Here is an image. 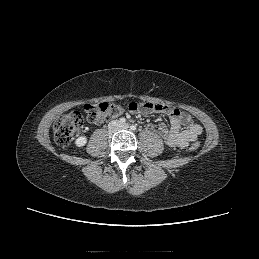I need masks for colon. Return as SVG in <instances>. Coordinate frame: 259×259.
<instances>
[{
	"instance_id": "obj_1",
	"label": "colon",
	"mask_w": 259,
	"mask_h": 259,
	"mask_svg": "<svg viewBox=\"0 0 259 259\" xmlns=\"http://www.w3.org/2000/svg\"><path fill=\"white\" fill-rule=\"evenodd\" d=\"M84 111L89 122L100 124L105 120L120 116L123 114L124 108L116 104L98 103L86 104L84 106ZM83 123L84 118L78 111H72L60 115L53 126L54 139L56 143L61 146L68 145L73 139L74 134L82 128ZM198 148L199 142L197 141L193 142L189 147L191 151H196Z\"/></svg>"
}]
</instances>
